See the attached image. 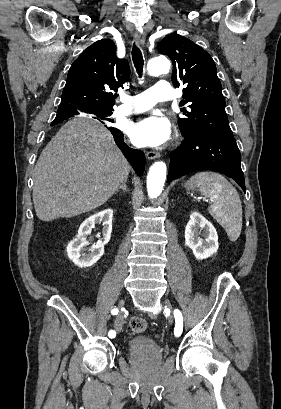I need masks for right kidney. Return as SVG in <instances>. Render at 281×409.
I'll use <instances>...</instances> for the list:
<instances>
[{
    "instance_id": "right-kidney-1",
    "label": "right kidney",
    "mask_w": 281,
    "mask_h": 409,
    "mask_svg": "<svg viewBox=\"0 0 281 409\" xmlns=\"http://www.w3.org/2000/svg\"><path fill=\"white\" fill-rule=\"evenodd\" d=\"M112 217V209H104V211H100V213L91 215V217L85 219L82 225H80L78 235L67 245V249L70 251L71 261H73L77 267H92V265H95L100 257H102L104 245H107L110 241ZM95 223H103V241L99 239L96 245H92V247L88 249L87 245H90V243L87 241V237L91 235Z\"/></svg>"
}]
</instances>
